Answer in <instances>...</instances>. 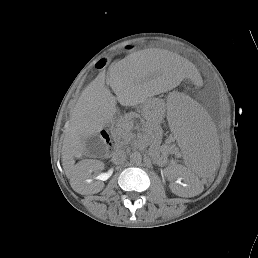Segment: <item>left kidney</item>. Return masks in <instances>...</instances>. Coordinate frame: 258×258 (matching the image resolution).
Returning a JSON list of instances; mask_svg holds the SVG:
<instances>
[{"label": "left kidney", "mask_w": 258, "mask_h": 258, "mask_svg": "<svg viewBox=\"0 0 258 258\" xmlns=\"http://www.w3.org/2000/svg\"><path fill=\"white\" fill-rule=\"evenodd\" d=\"M175 194L182 197L192 196L188 187L176 186Z\"/></svg>", "instance_id": "5707ae66"}]
</instances>
